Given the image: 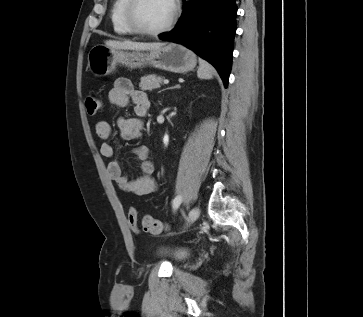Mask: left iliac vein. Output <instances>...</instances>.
Listing matches in <instances>:
<instances>
[{"label":"left iliac vein","instance_id":"4c4485c4","mask_svg":"<svg viewBox=\"0 0 363 317\" xmlns=\"http://www.w3.org/2000/svg\"><path fill=\"white\" fill-rule=\"evenodd\" d=\"M199 215H200V209L198 207H195L192 210H190L188 214L187 225L195 222L198 219Z\"/></svg>","mask_w":363,"mask_h":317}]
</instances>
